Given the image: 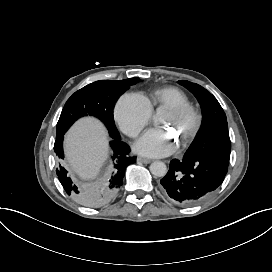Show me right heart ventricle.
Instances as JSON below:
<instances>
[{
  "label": "right heart ventricle",
  "mask_w": 272,
  "mask_h": 272,
  "mask_svg": "<svg viewBox=\"0 0 272 272\" xmlns=\"http://www.w3.org/2000/svg\"><path fill=\"white\" fill-rule=\"evenodd\" d=\"M151 102L158 107H168L173 104L188 105L186 96L176 88H164L151 95Z\"/></svg>",
  "instance_id": "1"
}]
</instances>
